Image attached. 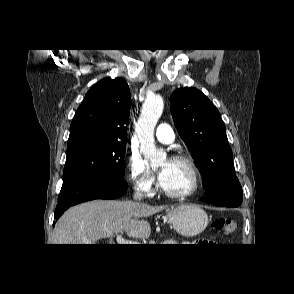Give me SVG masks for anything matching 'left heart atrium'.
<instances>
[{"mask_svg":"<svg viewBox=\"0 0 294 294\" xmlns=\"http://www.w3.org/2000/svg\"><path fill=\"white\" fill-rule=\"evenodd\" d=\"M165 173H166V169H165V168L161 169V170L158 172V178H159L160 182L164 179V177H165Z\"/></svg>","mask_w":294,"mask_h":294,"instance_id":"39dd6f15","label":"left heart atrium"}]
</instances>
